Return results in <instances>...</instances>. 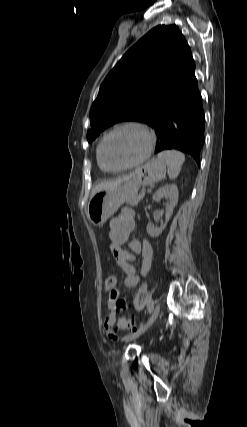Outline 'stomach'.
<instances>
[{
  "instance_id": "obj_1",
  "label": "stomach",
  "mask_w": 247,
  "mask_h": 427,
  "mask_svg": "<svg viewBox=\"0 0 247 427\" xmlns=\"http://www.w3.org/2000/svg\"><path fill=\"white\" fill-rule=\"evenodd\" d=\"M166 163L153 158L138 168L133 177L116 187L102 189L91 196L87 217L94 226L104 224L118 208L137 195L141 185H151L165 177Z\"/></svg>"
}]
</instances>
